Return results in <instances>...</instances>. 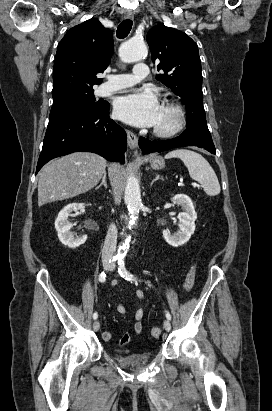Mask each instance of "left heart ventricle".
<instances>
[{
	"label": "left heart ventricle",
	"mask_w": 272,
	"mask_h": 411,
	"mask_svg": "<svg viewBox=\"0 0 272 411\" xmlns=\"http://www.w3.org/2000/svg\"><path fill=\"white\" fill-rule=\"evenodd\" d=\"M170 122H171V117L162 112L157 125L165 126V125L170 124Z\"/></svg>",
	"instance_id": "b2bd125f"
}]
</instances>
